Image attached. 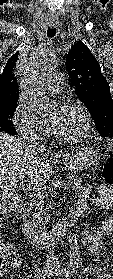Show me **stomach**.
Here are the masks:
<instances>
[{
    "mask_svg": "<svg viewBox=\"0 0 113 279\" xmlns=\"http://www.w3.org/2000/svg\"><path fill=\"white\" fill-rule=\"evenodd\" d=\"M99 153L88 145L75 147L66 154L64 160L65 167L72 171L84 170L99 164Z\"/></svg>",
    "mask_w": 113,
    "mask_h": 279,
    "instance_id": "stomach-1",
    "label": "stomach"
}]
</instances>
